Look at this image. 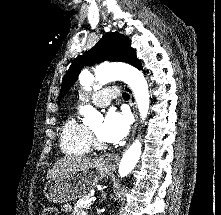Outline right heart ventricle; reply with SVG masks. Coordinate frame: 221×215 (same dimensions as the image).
<instances>
[{
    "label": "right heart ventricle",
    "mask_w": 221,
    "mask_h": 215,
    "mask_svg": "<svg viewBox=\"0 0 221 215\" xmlns=\"http://www.w3.org/2000/svg\"><path fill=\"white\" fill-rule=\"evenodd\" d=\"M60 148L68 155H85L90 151V130L74 115L70 116L61 128Z\"/></svg>",
    "instance_id": "obj_1"
}]
</instances>
